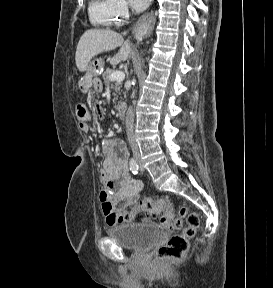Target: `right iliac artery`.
I'll list each match as a JSON object with an SVG mask.
<instances>
[{"label":"right iliac artery","instance_id":"right-iliac-artery-1","mask_svg":"<svg viewBox=\"0 0 273 288\" xmlns=\"http://www.w3.org/2000/svg\"><path fill=\"white\" fill-rule=\"evenodd\" d=\"M130 170L132 171L133 174H137L139 170V166L136 160L133 158L130 160Z\"/></svg>","mask_w":273,"mask_h":288}]
</instances>
